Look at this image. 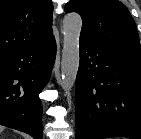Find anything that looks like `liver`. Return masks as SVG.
<instances>
[{
  "label": "liver",
  "mask_w": 141,
  "mask_h": 139,
  "mask_svg": "<svg viewBox=\"0 0 141 139\" xmlns=\"http://www.w3.org/2000/svg\"><path fill=\"white\" fill-rule=\"evenodd\" d=\"M4 127L0 126V133L3 131Z\"/></svg>",
  "instance_id": "obj_1"
}]
</instances>
